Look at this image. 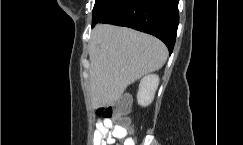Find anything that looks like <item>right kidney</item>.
<instances>
[{
  "label": "right kidney",
  "instance_id": "1",
  "mask_svg": "<svg viewBox=\"0 0 243 145\" xmlns=\"http://www.w3.org/2000/svg\"><path fill=\"white\" fill-rule=\"evenodd\" d=\"M159 85V77L155 74L146 75L140 81L137 93V101L141 106H148L154 99L155 92Z\"/></svg>",
  "mask_w": 243,
  "mask_h": 145
}]
</instances>
